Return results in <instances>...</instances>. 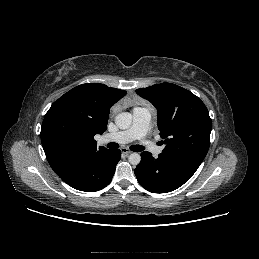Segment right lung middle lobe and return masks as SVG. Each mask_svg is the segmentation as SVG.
Here are the masks:
<instances>
[{
    "mask_svg": "<svg viewBox=\"0 0 259 259\" xmlns=\"http://www.w3.org/2000/svg\"><path fill=\"white\" fill-rule=\"evenodd\" d=\"M52 136L60 139H64L67 136V133L61 129H55L52 131Z\"/></svg>",
    "mask_w": 259,
    "mask_h": 259,
    "instance_id": "right-lung-middle-lobe-1",
    "label": "right lung middle lobe"
}]
</instances>
